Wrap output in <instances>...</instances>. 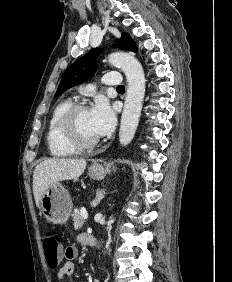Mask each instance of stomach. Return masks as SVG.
<instances>
[{"label":"stomach","mask_w":232,"mask_h":282,"mask_svg":"<svg viewBox=\"0 0 232 282\" xmlns=\"http://www.w3.org/2000/svg\"><path fill=\"white\" fill-rule=\"evenodd\" d=\"M108 170V167L94 163L88 168V175L92 179L101 180ZM40 208L49 222L64 224L71 214L72 200L68 191L60 183H56L44 192Z\"/></svg>","instance_id":"0dacf381"}]
</instances>
